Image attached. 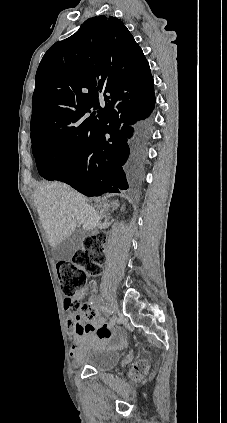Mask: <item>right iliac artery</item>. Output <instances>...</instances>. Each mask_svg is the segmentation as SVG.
<instances>
[{
    "instance_id": "right-iliac-artery-1",
    "label": "right iliac artery",
    "mask_w": 227,
    "mask_h": 423,
    "mask_svg": "<svg viewBox=\"0 0 227 423\" xmlns=\"http://www.w3.org/2000/svg\"><path fill=\"white\" fill-rule=\"evenodd\" d=\"M101 309L103 311H106V312L109 311L108 308H107V306H101ZM109 313H110V320H109L110 323L108 324V327L110 328L112 325L116 324L118 320L116 318L115 313H112L111 311Z\"/></svg>"
}]
</instances>
